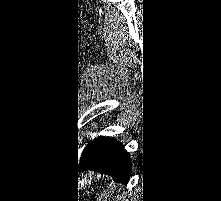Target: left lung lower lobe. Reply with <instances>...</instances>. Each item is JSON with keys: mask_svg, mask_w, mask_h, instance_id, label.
<instances>
[{"mask_svg": "<svg viewBox=\"0 0 221 201\" xmlns=\"http://www.w3.org/2000/svg\"><path fill=\"white\" fill-rule=\"evenodd\" d=\"M81 170L91 169L109 174L114 181L127 183L131 176V160L124 145L110 137L99 136L84 148L80 156Z\"/></svg>", "mask_w": 221, "mask_h": 201, "instance_id": "left-lung-lower-lobe-1", "label": "left lung lower lobe"}]
</instances>
